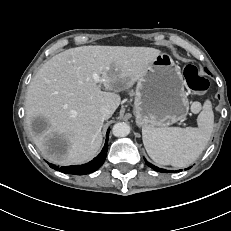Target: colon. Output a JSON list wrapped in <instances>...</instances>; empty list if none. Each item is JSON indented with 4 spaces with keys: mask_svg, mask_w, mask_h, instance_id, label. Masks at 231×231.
I'll list each match as a JSON object with an SVG mask.
<instances>
[{
    "mask_svg": "<svg viewBox=\"0 0 231 231\" xmlns=\"http://www.w3.org/2000/svg\"><path fill=\"white\" fill-rule=\"evenodd\" d=\"M183 74L185 81L191 90L203 92L208 89V80L199 75L198 70L194 65L185 66Z\"/></svg>",
    "mask_w": 231,
    "mask_h": 231,
    "instance_id": "obj_1",
    "label": "colon"
}]
</instances>
